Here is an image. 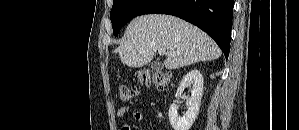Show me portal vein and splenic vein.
<instances>
[{
	"label": "portal vein and splenic vein",
	"instance_id": "obj_1",
	"mask_svg": "<svg viewBox=\"0 0 299 130\" xmlns=\"http://www.w3.org/2000/svg\"><path fill=\"white\" fill-rule=\"evenodd\" d=\"M158 53H159V55H164V54H166V50L165 49H159ZM167 55H168V57H171V56L174 55V53L168 52Z\"/></svg>",
	"mask_w": 299,
	"mask_h": 130
}]
</instances>
